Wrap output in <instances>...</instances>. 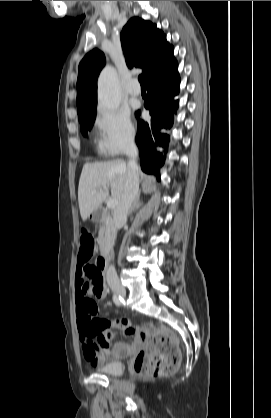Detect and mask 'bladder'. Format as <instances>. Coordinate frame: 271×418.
Instances as JSON below:
<instances>
[{
  "mask_svg": "<svg viewBox=\"0 0 271 418\" xmlns=\"http://www.w3.org/2000/svg\"><path fill=\"white\" fill-rule=\"evenodd\" d=\"M123 370L124 366L120 360H112L97 369L99 373L109 376H120L123 373Z\"/></svg>",
  "mask_w": 271,
  "mask_h": 418,
  "instance_id": "obj_1",
  "label": "bladder"
}]
</instances>
